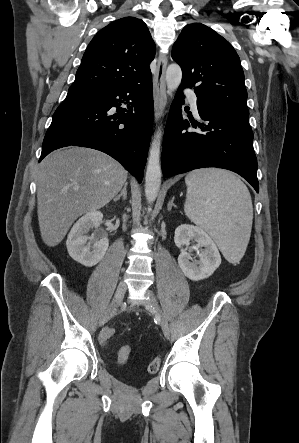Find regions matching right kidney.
Wrapping results in <instances>:
<instances>
[{
    "label": "right kidney",
    "instance_id": "1",
    "mask_svg": "<svg viewBox=\"0 0 299 443\" xmlns=\"http://www.w3.org/2000/svg\"><path fill=\"white\" fill-rule=\"evenodd\" d=\"M102 218L103 214L100 211L87 212L73 225L67 237L66 246L69 255L86 267H92L100 262L109 246L108 238L100 237L92 240L87 235L91 229L99 227Z\"/></svg>",
    "mask_w": 299,
    "mask_h": 443
}]
</instances>
